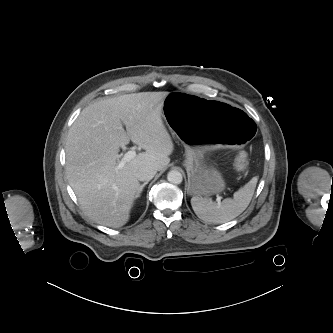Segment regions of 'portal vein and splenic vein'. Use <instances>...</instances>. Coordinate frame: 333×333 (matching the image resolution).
Listing matches in <instances>:
<instances>
[{
  "mask_svg": "<svg viewBox=\"0 0 333 333\" xmlns=\"http://www.w3.org/2000/svg\"><path fill=\"white\" fill-rule=\"evenodd\" d=\"M136 157V151L135 150H130L127 153L124 154V156L121 158L118 167L122 168L128 161L132 160L133 158ZM220 199H218V202Z\"/></svg>",
  "mask_w": 333,
  "mask_h": 333,
  "instance_id": "18ae733b",
  "label": "portal vein and splenic vein"
}]
</instances>
